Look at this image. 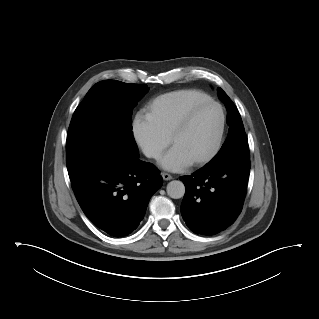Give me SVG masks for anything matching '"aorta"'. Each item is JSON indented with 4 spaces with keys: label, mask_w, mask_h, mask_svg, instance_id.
<instances>
[{
    "label": "aorta",
    "mask_w": 319,
    "mask_h": 319,
    "mask_svg": "<svg viewBox=\"0 0 319 319\" xmlns=\"http://www.w3.org/2000/svg\"><path fill=\"white\" fill-rule=\"evenodd\" d=\"M167 194L173 199L182 198L185 194V186L181 181L173 180L167 184Z\"/></svg>",
    "instance_id": "obj_1"
}]
</instances>
